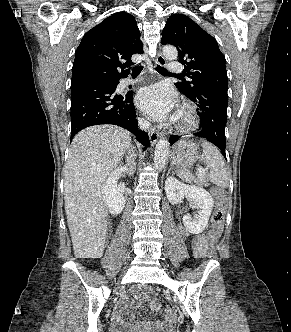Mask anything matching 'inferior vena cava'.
<instances>
[{"label":"inferior vena cava","mask_w":291,"mask_h":332,"mask_svg":"<svg viewBox=\"0 0 291 332\" xmlns=\"http://www.w3.org/2000/svg\"><path fill=\"white\" fill-rule=\"evenodd\" d=\"M138 125H139L140 129H142V130H146L150 127V123L147 122L146 120H142V119H139ZM130 173H131V170H130Z\"/></svg>","instance_id":"inferior-vena-cava-1"}]
</instances>
